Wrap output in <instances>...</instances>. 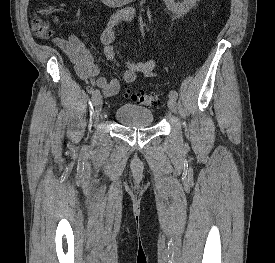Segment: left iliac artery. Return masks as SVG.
Listing matches in <instances>:
<instances>
[{
	"label": "left iliac artery",
	"mask_w": 275,
	"mask_h": 263,
	"mask_svg": "<svg viewBox=\"0 0 275 263\" xmlns=\"http://www.w3.org/2000/svg\"><path fill=\"white\" fill-rule=\"evenodd\" d=\"M169 98H172V99H177L178 98V93L176 91H170L169 92Z\"/></svg>",
	"instance_id": "left-iliac-artery-1"
}]
</instances>
